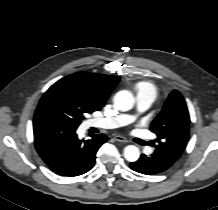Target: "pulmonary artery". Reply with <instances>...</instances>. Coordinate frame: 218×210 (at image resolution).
<instances>
[{"label":"pulmonary artery","instance_id":"obj_1","mask_svg":"<svg viewBox=\"0 0 218 210\" xmlns=\"http://www.w3.org/2000/svg\"><path fill=\"white\" fill-rule=\"evenodd\" d=\"M154 98V93L151 90H141L136 98L137 112L141 113L148 110L151 107ZM135 117L136 115L123 114L110 118L91 119L88 121L87 126L103 129L118 128L130 124L134 121Z\"/></svg>","mask_w":218,"mask_h":210}]
</instances>
